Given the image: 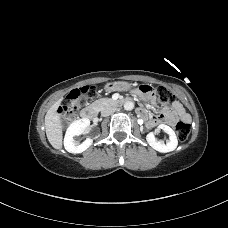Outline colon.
Segmentation results:
<instances>
[{
    "label": "colon",
    "mask_w": 228,
    "mask_h": 228,
    "mask_svg": "<svg viewBox=\"0 0 228 228\" xmlns=\"http://www.w3.org/2000/svg\"><path fill=\"white\" fill-rule=\"evenodd\" d=\"M139 90L144 94L155 93L158 103L162 106H169L174 103L175 96L171 91L165 87H158L153 89L149 85H141ZM94 95V92L91 87L83 86L77 89L72 90L68 96L66 102L59 107L58 112L64 120H71L75 117L76 111L78 110L80 99L83 95ZM175 130L180 141H186L190 134V126L184 121H179Z\"/></svg>",
    "instance_id": "5ec220e1"
}]
</instances>
